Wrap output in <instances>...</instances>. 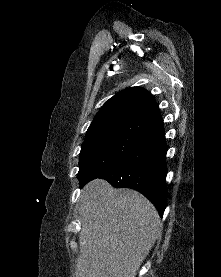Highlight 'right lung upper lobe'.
Wrapping results in <instances>:
<instances>
[{"label": "right lung upper lobe", "mask_w": 221, "mask_h": 277, "mask_svg": "<svg viewBox=\"0 0 221 277\" xmlns=\"http://www.w3.org/2000/svg\"><path fill=\"white\" fill-rule=\"evenodd\" d=\"M157 109V103L148 91L141 87H130L103 105L88 130L105 125L140 124L145 115Z\"/></svg>", "instance_id": "cb5924a9"}]
</instances>
